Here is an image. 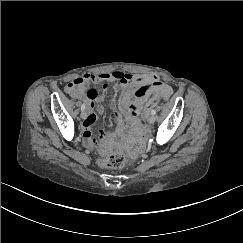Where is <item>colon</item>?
<instances>
[{"instance_id": "1", "label": "colon", "mask_w": 243, "mask_h": 243, "mask_svg": "<svg viewBox=\"0 0 243 243\" xmlns=\"http://www.w3.org/2000/svg\"><path fill=\"white\" fill-rule=\"evenodd\" d=\"M100 164L110 168H122L126 165V159L121 155L113 154L107 158L101 159Z\"/></svg>"}]
</instances>
